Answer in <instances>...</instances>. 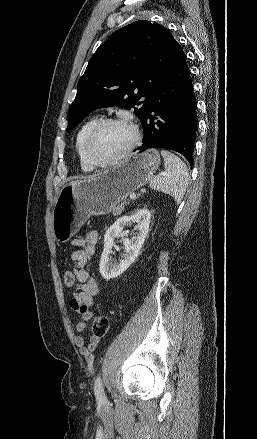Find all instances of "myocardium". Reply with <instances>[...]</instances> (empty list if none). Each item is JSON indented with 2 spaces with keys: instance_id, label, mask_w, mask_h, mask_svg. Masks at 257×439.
<instances>
[{
  "instance_id": "f54148a6",
  "label": "myocardium",
  "mask_w": 257,
  "mask_h": 439,
  "mask_svg": "<svg viewBox=\"0 0 257 439\" xmlns=\"http://www.w3.org/2000/svg\"><path fill=\"white\" fill-rule=\"evenodd\" d=\"M124 125L129 127L133 132V138L131 143L116 157L113 159H110L108 161H98L92 154L91 146L96 138V136L99 134V132L108 125ZM141 141V133L139 130V127L131 120L126 118H105L102 120H99L93 128L88 133L85 142H84V153L88 160V162L94 167V168H107L110 167L121 160L128 157L131 152L140 144Z\"/></svg>"
}]
</instances>
